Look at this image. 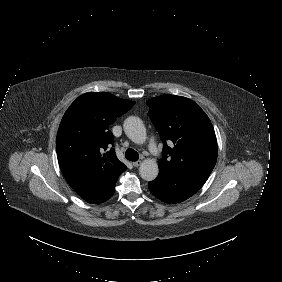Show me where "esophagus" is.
I'll list each match as a JSON object with an SVG mask.
<instances>
[{
	"mask_svg": "<svg viewBox=\"0 0 282 282\" xmlns=\"http://www.w3.org/2000/svg\"><path fill=\"white\" fill-rule=\"evenodd\" d=\"M141 165V160L133 162L134 167H139Z\"/></svg>",
	"mask_w": 282,
	"mask_h": 282,
	"instance_id": "esophagus-1",
	"label": "esophagus"
}]
</instances>
